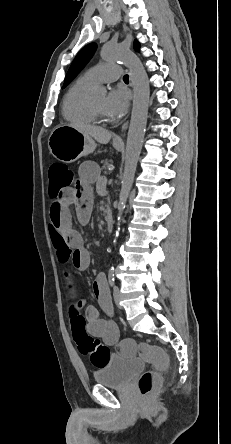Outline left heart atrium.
Returning <instances> with one entry per match:
<instances>
[{"label": "left heart atrium", "mask_w": 231, "mask_h": 444, "mask_svg": "<svg viewBox=\"0 0 231 444\" xmlns=\"http://www.w3.org/2000/svg\"><path fill=\"white\" fill-rule=\"evenodd\" d=\"M128 104V92L124 88H115L106 97L105 112L111 118H119L127 111Z\"/></svg>", "instance_id": "1"}]
</instances>
